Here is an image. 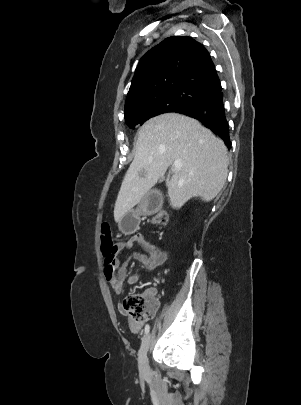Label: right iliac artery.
<instances>
[{"instance_id": "obj_1", "label": "right iliac artery", "mask_w": 301, "mask_h": 405, "mask_svg": "<svg viewBox=\"0 0 301 405\" xmlns=\"http://www.w3.org/2000/svg\"><path fill=\"white\" fill-rule=\"evenodd\" d=\"M145 334L147 335L148 333H149V330H150V326L147 324L146 326H145Z\"/></svg>"}]
</instances>
